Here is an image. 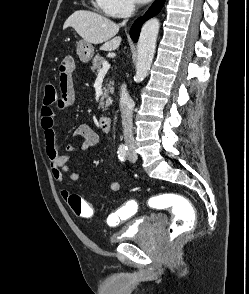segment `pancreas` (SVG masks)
Returning a JSON list of instances; mask_svg holds the SVG:
<instances>
[{"mask_svg": "<svg viewBox=\"0 0 249 294\" xmlns=\"http://www.w3.org/2000/svg\"><path fill=\"white\" fill-rule=\"evenodd\" d=\"M104 62V59L97 55L94 57V59L92 60V66H91V70L93 72L98 73L101 69V66ZM113 81H110L107 86L104 88V92L103 95L100 99V103H99V108L102 109H107L110 105H111V98L109 97V93H113L114 88H113ZM106 99V101H104Z\"/></svg>", "mask_w": 249, "mask_h": 294, "instance_id": "pancreas-1", "label": "pancreas"}]
</instances>
